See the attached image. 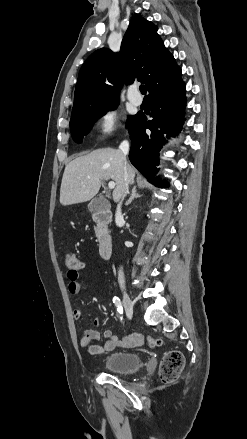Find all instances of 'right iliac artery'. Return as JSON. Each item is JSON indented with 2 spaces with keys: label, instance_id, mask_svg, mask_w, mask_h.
<instances>
[{
  "label": "right iliac artery",
  "instance_id": "obj_1",
  "mask_svg": "<svg viewBox=\"0 0 247 439\" xmlns=\"http://www.w3.org/2000/svg\"><path fill=\"white\" fill-rule=\"evenodd\" d=\"M113 303L115 304V306L117 308V311L120 314H123V306H122L121 300L118 297H114L113 298Z\"/></svg>",
  "mask_w": 247,
  "mask_h": 439
}]
</instances>
